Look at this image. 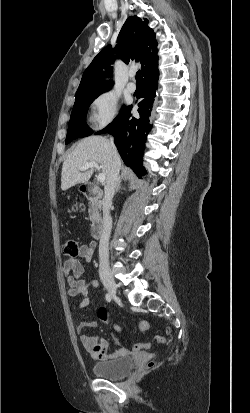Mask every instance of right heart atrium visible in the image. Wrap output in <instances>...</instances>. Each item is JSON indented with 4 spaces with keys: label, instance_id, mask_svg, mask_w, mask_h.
I'll return each mask as SVG.
<instances>
[{
    "label": "right heart atrium",
    "instance_id": "1",
    "mask_svg": "<svg viewBox=\"0 0 250 413\" xmlns=\"http://www.w3.org/2000/svg\"><path fill=\"white\" fill-rule=\"evenodd\" d=\"M118 113V98L109 91L98 94L90 104L89 123L100 130L112 123Z\"/></svg>",
    "mask_w": 250,
    "mask_h": 413
}]
</instances>
